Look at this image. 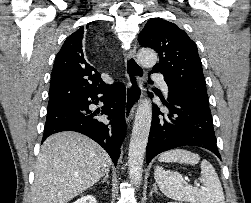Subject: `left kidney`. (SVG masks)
<instances>
[{
    "label": "left kidney",
    "mask_w": 251,
    "mask_h": 203,
    "mask_svg": "<svg viewBox=\"0 0 251 203\" xmlns=\"http://www.w3.org/2000/svg\"><path fill=\"white\" fill-rule=\"evenodd\" d=\"M168 203H176V202H168Z\"/></svg>",
    "instance_id": "left-kidney-1"
}]
</instances>
